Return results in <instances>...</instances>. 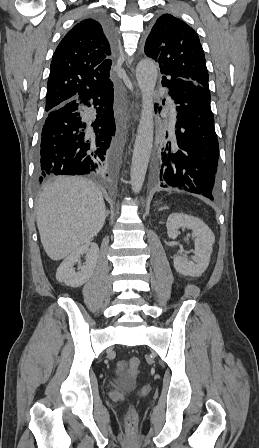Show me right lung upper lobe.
<instances>
[{"label":"right lung upper lobe","mask_w":259,"mask_h":448,"mask_svg":"<svg viewBox=\"0 0 259 448\" xmlns=\"http://www.w3.org/2000/svg\"><path fill=\"white\" fill-rule=\"evenodd\" d=\"M112 59V45L102 24L92 18L77 23L53 54L45 111L113 86Z\"/></svg>","instance_id":"cb5924a9"}]
</instances>
